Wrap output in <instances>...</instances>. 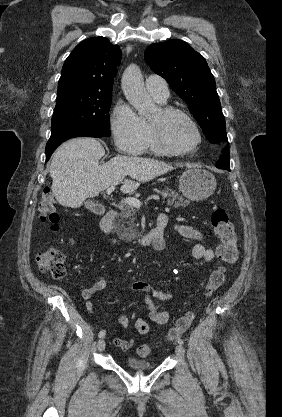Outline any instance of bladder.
Returning a JSON list of instances; mask_svg holds the SVG:
<instances>
[{
	"mask_svg": "<svg viewBox=\"0 0 282 417\" xmlns=\"http://www.w3.org/2000/svg\"><path fill=\"white\" fill-rule=\"evenodd\" d=\"M125 364L129 369L134 371H145L150 369L152 366L151 362L135 357H128L125 360Z\"/></svg>",
	"mask_w": 282,
	"mask_h": 417,
	"instance_id": "obj_1",
	"label": "bladder"
}]
</instances>
